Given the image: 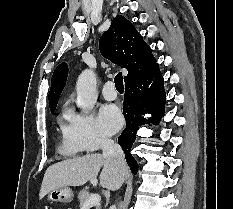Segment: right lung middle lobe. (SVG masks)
<instances>
[{"mask_svg": "<svg viewBox=\"0 0 233 209\" xmlns=\"http://www.w3.org/2000/svg\"><path fill=\"white\" fill-rule=\"evenodd\" d=\"M55 110L51 111V113H54Z\"/></svg>", "mask_w": 233, "mask_h": 209, "instance_id": "dd1d6c3e", "label": "right lung middle lobe"}]
</instances>
